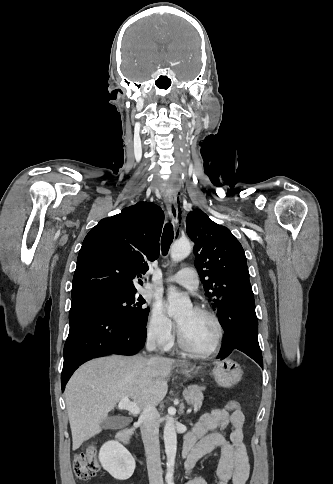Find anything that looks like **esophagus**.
<instances>
[{"label":"esophagus","instance_id":"34e87169","mask_svg":"<svg viewBox=\"0 0 333 484\" xmlns=\"http://www.w3.org/2000/svg\"><path fill=\"white\" fill-rule=\"evenodd\" d=\"M164 201H165V205L168 210V213L172 218L173 223L177 225L180 221L177 197L171 194H166L164 196Z\"/></svg>","mask_w":333,"mask_h":484}]
</instances>
